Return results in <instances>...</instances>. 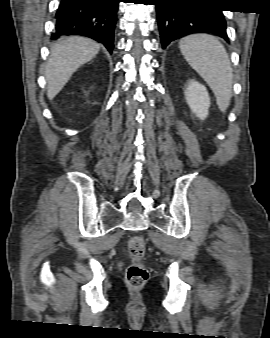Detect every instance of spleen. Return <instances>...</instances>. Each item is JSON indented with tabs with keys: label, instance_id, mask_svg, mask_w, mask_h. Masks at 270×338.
I'll use <instances>...</instances> for the list:
<instances>
[{
	"label": "spleen",
	"instance_id": "3e777b00",
	"mask_svg": "<svg viewBox=\"0 0 270 338\" xmlns=\"http://www.w3.org/2000/svg\"><path fill=\"white\" fill-rule=\"evenodd\" d=\"M189 65L212 89L219 109L225 112L232 97L233 73L228 53L220 41L208 34H193L179 42Z\"/></svg>",
	"mask_w": 270,
	"mask_h": 338
}]
</instances>
